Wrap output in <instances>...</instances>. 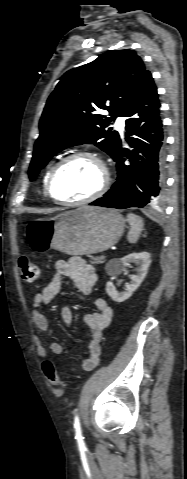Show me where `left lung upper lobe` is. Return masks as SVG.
<instances>
[{
  "mask_svg": "<svg viewBox=\"0 0 187 479\" xmlns=\"http://www.w3.org/2000/svg\"><path fill=\"white\" fill-rule=\"evenodd\" d=\"M151 73L135 51L112 50L69 70L49 96L40 119L29 169L30 180L61 150L95 144L113 159L121 148L115 131L106 128L125 117ZM109 112V117L102 114Z\"/></svg>",
  "mask_w": 187,
  "mask_h": 479,
  "instance_id": "obj_1",
  "label": "left lung upper lobe"
}]
</instances>
